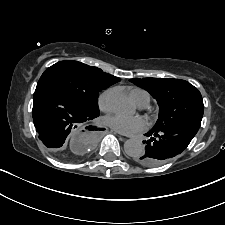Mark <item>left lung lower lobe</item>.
<instances>
[{
  "label": "left lung lower lobe",
  "mask_w": 225,
  "mask_h": 225,
  "mask_svg": "<svg viewBox=\"0 0 225 225\" xmlns=\"http://www.w3.org/2000/svg\"><path fill=\"white\" fill-rule=\"evenodd\" d=\"M200 122L189 121L163 130L151 129L145 135L150 139L143 141L145 151L135 160L145 166H159L182 153L196 135Z\"/></svg>",
  "instance_id": "left-lung-lower-lobe-1"
}]
</instances>
